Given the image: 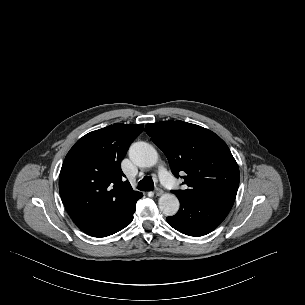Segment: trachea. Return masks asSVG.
Segmentation results:
<instances>
[{"mask_svg": "<svg viewBox=\"0 0 305 305\" xmlns=\"http://www.w3.org/2000/svg\"><path fill=\"white\" fill-rule=\"evenodd\" d=\"M138 189L141 191H152L154 189L153 180L150 176H145L138 183Z\"/></svg>", "mask_w": 305, "mask_h": 305, "instance_id": "trachea-1", "label": "trachea"}]
</instances>
